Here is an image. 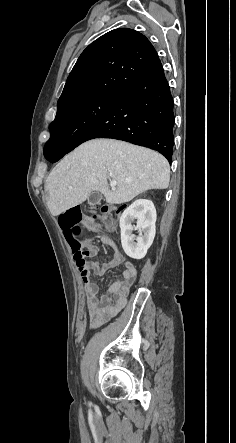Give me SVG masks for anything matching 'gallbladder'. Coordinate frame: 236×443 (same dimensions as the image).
<instances>
[{"mask_svg":"<svg viewBox=\"0 0 236 443\" xmlns=\"http://www.w3.org/2000/svg\"><path fill=\"white\" fill-rule=\"evenodd\" d=\"M102 199H103L102 194L98 191H94L88 197L87 202L89 205H97L101 202Z\"/></svg>","mask_w":236,"mask_h":443,"instance_id":"obj_1","label":"gallbladder"}]
</instances>
